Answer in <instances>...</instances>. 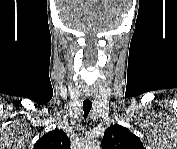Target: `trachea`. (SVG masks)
Returning a JSON list of instances; mask_svg holds the SVG:
<instances>
[{
  "label": "trachea",
  "instance_id": "1",
  "mask_svg": "<svg viewBox=\"0 0 177 149\" xmlns=\"http://www.w3.org/2000/svg\"><path fill=\"white\" fill-rule=\"evenodd\" d=\"M91 108H92V103L90 101L83 103L84 119L88 117Z\"/></svg>",
  "mask_w": 177,
  "mask_h": 149
}]
</instances>
